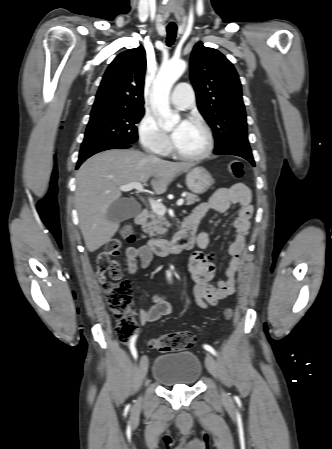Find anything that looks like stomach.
I'll use <instances>...</instances> for the list:
<instances>
[{"label":"stomach","mask_w":332,"mask_h":449,"mask_svg":"<svg viewBox=\"0 0 332 449\" xmlns=\"http://www.w3.org/2000/svg\"><path fill=\"white\" fill-rule=\"evenodd\" d=\"M213 183L211 174L203 167H194L187 171V187L195 194L205 193Z\"/></svg>","instance_id":"1"}]
</instances>
